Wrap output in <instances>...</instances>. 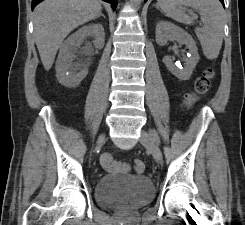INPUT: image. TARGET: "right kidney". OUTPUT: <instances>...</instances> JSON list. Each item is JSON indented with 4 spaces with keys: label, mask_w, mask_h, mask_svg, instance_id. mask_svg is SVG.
Segmentation results:
<instances>
[{
    "label": "right kidney",
    "mask_w": 245,
    "mask_h": 225,
    "mask_svg": "<svg viewBox=\"0 0 245 225\" xmlns=\"http://www.w3.org/2000/svg\"><path fill=\"white\" fill-rule=\"evenodd\" d=\"M87 37L94 38L95 48L101 49L104 46V28L101 24H90L81 27L70 35L61 44L58 59L56 61V77L66 87H76L88 74L85 64L73 63L76 59V50Z\"/></svg>",
    "instance_id": "obj_1"
}]
</instances>
